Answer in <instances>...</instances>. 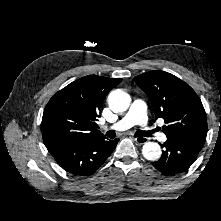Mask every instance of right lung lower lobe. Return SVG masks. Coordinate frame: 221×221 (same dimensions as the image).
Masks as SVG:
<instances>
[{
	"mask_svg": "<svg viewBox=\"0 0 221 221\" xmlns=\"http://www.w3.org/2000/svg\"><path fill=\"white\" fill-rule=\"evenodd\" d=\"M118 139L105 136L65 141L46 146L56 162L67 172L77 176L93 174L114 151Z\"/></svg>",
	"mask_w": 221,
	"mask_h": 221,
	"instance_id": "right-lung-lower-lobe-1",
	"label": "right lung lower lobe"
}]
</instances>
